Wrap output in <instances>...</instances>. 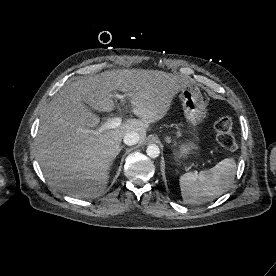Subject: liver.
<instances>
[{
  "instance_id": "6515ba94",
  "label": "liver",
  "mask_w": 276,
  "mask_h": 276,
  "mask_svg": "<svg viewBox=\"0 0 276 276\" xmlns=\"http://www.w3.org/2000/svg\"><path fill=\"white\" fill-rule=\"evenodd\" d=\"M188 85L177 75L158 70L106 71L73 81L55 94L40 118L36 157L48 183L76 198H96L106 188L124 135L135 131L144 141L150 123L162 119L174 97ZM131 100L130 118L99 135L100 112L113 111L115 92Z\"/></svg>"
}]
</instances>
